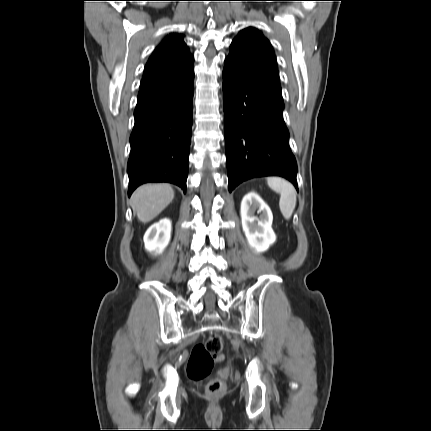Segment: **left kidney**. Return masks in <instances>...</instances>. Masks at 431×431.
I'll return each mask as SVG.
<instances>
[{
    "mask_svg": "<svg viewBox=\"0 0 431 431\" xmlns=\"http://www.w3.org/2000/svg\"><path fill=\"white\" fill-rule=\"evenodd\" d=\"M257 211L259 218L255 216ZM242 229L248 244L257 253L265 252L276 241L272 229L273 215L269 206L255 192L246 194L241 202Z\"/></svg>",
    "mask_w": 431,
    "mask_h": 431,
    "instance_id": "left-kidney-1",
    "label": "left kidney"
}]
</instances>
